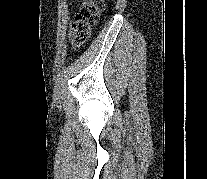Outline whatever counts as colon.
Wrapping results in <instances>:
<instances>
[{
	"instance_id": "obj_1",
	"label": "colon",
	"mask_w": 207,
	"mask_h": 179,
	"mask_svg": "<svg viewBox=\"0 0 207 179\" xmlns=\"http://www.w3.org/2000/svg\"><path fill=\"white\" fill-rule=\"evenodd\" d=\"M106 0H83L70 24V41L73 46H82L88 39L90 29L99 19Z\"/></svg>"
}]
</instances>
